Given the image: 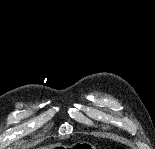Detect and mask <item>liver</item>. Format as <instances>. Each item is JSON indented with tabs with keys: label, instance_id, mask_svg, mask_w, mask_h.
<instances>
[{
	"label": "liver",
	"instance_id": "6515ba94",
	"mask_svg": "<svg viewBox=\"0 0 155 149\" xmlns=\"http://www.w3.org/2000/svg\"><path fill=\"white\" fill-rule=\"evenodd\" d=\"M56 146H60V144L49 145V146L42 147L40 149H54Z\"/></svg>",
	"mask_w": 155,
	"mask_h": 149
}]
</instances>
